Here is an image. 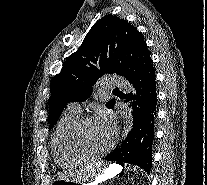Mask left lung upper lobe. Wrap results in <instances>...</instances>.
<instances>
[{
	"label": "left lung upper lobe",
	"instance_id": "obj_1",
	"mask_svg": "<svg viewBox=\"0 0 207 185\" xmlns=\"http://www.w3.org/2000/svg\"><path fill=\"white\" fill-rule=\"evenodd\" d=\"M152 64L143 36L128 21L114 15L98 20L79 49L66 60L51 82L49 129L58 121L69 102L85 101L93 85L106 73L130 80ZM115 99L106 103L112 108Z\"/></svg>",
	"mask_w": 207,
	"mask_h": 185
}]
</instances>
